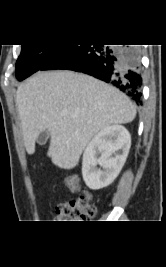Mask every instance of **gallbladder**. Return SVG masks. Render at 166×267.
<instances>
[{"label":"gallbladder","instance_id":"1","mask_svg":"<svg viewBox=\"0 0 166 267\" xmlns=\"http://www.w3.org/2000/svg\"><path fill=\"white\" fill-rule=\"evenodd\" d=\"M48 138H49V132H48V130H44L37 136L36 142L39 145H45Z\"/></svg>","mask_w":166,"mask_h":267}]
</instances>
